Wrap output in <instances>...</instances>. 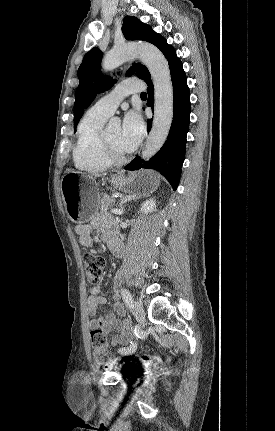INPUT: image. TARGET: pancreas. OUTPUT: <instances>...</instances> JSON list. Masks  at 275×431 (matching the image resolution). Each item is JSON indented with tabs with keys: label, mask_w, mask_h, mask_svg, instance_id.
<instances>
[{
	"label": "pancreas",
	"mask_w": 275,
	"mask_h": 431,
	"mask_svg": "<svg viewBox=\"0 0 275 431\" xmlns=\"http://www.w3.org/2000/svg\"><path fill=\"white\" fill-rule=\"evenodd\" d=\"M115 204V200L110 198L107 194H103L102 198L99 200L101 214L107 215V210L112 208Z\"/></svg>",
	"instance_id": "pancreas-1"
}]
</instances>
